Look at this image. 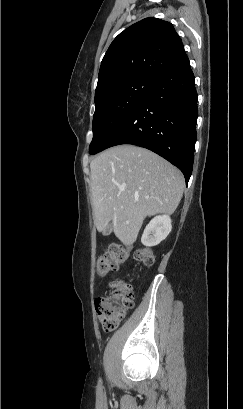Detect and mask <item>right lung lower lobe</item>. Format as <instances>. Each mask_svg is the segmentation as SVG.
Wrapping results in <instances>:
<instances>
[{"instance_id": "obj_1", "label": "right lung lower lobe", "mask_w": 243, "mask_h": 409, "mask_svg": "<svg viewBox=\"0 0 243 409\" xmlns=\"http://www.w3.org/2000/svg\"><path fill=\"white\" fill-rule=\"evenodd\" d=\"M197 92L185 55L164 74L131 115L110 136L104 149L133 144L178 167L189 181L194 161Z\"/></svg>"}]
</instances>
